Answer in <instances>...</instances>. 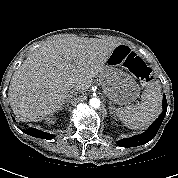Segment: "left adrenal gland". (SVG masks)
<instances>
[{
    "label": "left adrenal gland",
    "instance_id": "left-adrenal-gland-1",
    "mask_svg": "<svg viewBox=\"0 0 178 178\" xmlns=\"http://www.w3.org/2000/svg\"><path fill=\"white\" fill-rule=\"evenodd\" d=\"M113 110H114V107L112 105H110V114H111V116H115Z\"/></svg>",
    "mask_w": 178,
    "mask_h": 178
}]
</instances>
